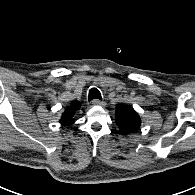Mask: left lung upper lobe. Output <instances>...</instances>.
I'll return each instance as SVG.
<instances>
[{"label":"left lung upper lobe","instance_id":"left-lung-upper-lobe-1","mask_svg":"<svg viewBox=\"0 0 195 195\" xmlns=\"http://www.w3.org/2000/svg\"><path fill=\"white\" fill-rule=\"evenodd\" d=\"M115 122L124 135L138 131L141 125L140 117L135 110L120 104L116 106Z\"/></svg>","mask_w":195,"mask_h":195}]
</instances>
